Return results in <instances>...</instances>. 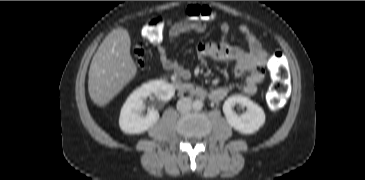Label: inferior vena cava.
Here are the masks:
<instances>
[{
  "mask_svg": "<svg viewBox=\"0 0 365 180\" xmlns=\"http://www.w3.org/2000/svg\"><path fill=\"white\" fill-rule=\"evenodd\" d=\"M192 107V101L190 98H181L177 102V110L180 112H185L190 110Z\"/></svg>",
  "mask_w": 365,
  "mask_h": 180,
  "instance_id": "1",
  "label": "inferior vena cava"
}]
</instances>
